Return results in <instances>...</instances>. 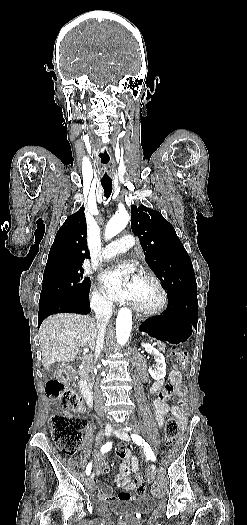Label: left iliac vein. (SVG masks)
I'll return each instance as SVG.
<instances>
[{
  "label": "left iliac vein",
  "mask_w": 247,
  "mask_h": 525,
  "mask_svg": "<svg viewBox=\"0 0 247 525\" xmlns=\"http://www.w3.org/2000/svg\"><path fill=\"white\" fill-rule=\"evenodd\" d=\"M115 433L120 439H122L124 441H127V442L131 441V439H130V437H129V435L127 433H124V432H121V431H115ZM150 469H151V471H155L156 470L155 464L152 463L150 465Z\"/></svg>",
  "instance_id": "left-iliac-vein-1"
}]
</instances>
